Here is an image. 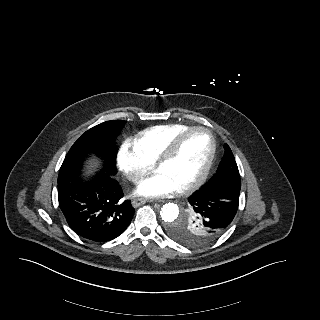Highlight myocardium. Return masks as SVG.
I'll use <instances>...</instances> for the list:
<instances>
[{"label":"myocardium","mask_w":320,"mask_h":320,"mask_svg":"<svg viewBox=\"0 0 320 320\" xmlns=\"http://www.w3.org/2000/svg\"><path fill=\"white\" fill-rule=\"evenodd\" d=\"M196 132H203L207 134L210 141V151L209 156L206 161V164L202 170V172L196 177L193 181L181 186L179 188V192H188L191 190L196 189L199 187L208 177L211 168L213 166V162L216 155V140L212 134V132L201 126H193L189 127L188 129L180 132L178 135H176L171 142L167 145V147L164 149V151L159 155V157L155 160V168H159L162 164L169 161L174 157V155L177 153L182 141L189 135L196 133Z\"/></svg>","instance_id":"obj_1"}]
</instances>
